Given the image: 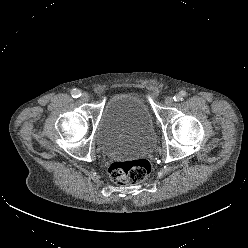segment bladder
<instances>
[{
    "label": "bladder",
    "instance_id": "31cf9c89",
    "mask_svg": "<svg viewBox=\"0 0 248 248\" xmlns=\"http://www.w3.org/2000/svg\"><path fill=\"white\" fill-rule=\"evenodd\" d=\"M96 141L108 155L152 152L157 135L146 100L134 93H116L104 103Z\"/></svg>",
    "mask_w": 248,
    "mask_h": 248
}]
</instances>
